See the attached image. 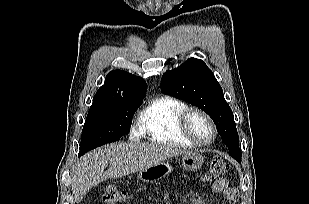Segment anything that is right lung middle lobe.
<instances>
[{"instance_id":"dd1d6c3e","label":"right lung middle lobe","mask_w":309,"mask_h":204,"mask_svg":"<svg viewBox=\"0 0 309 204\" xmlns=\"http://www.w3.org/2000/svg\"><path fill=\"white\" fill-rule=\"evenodd\" d=\"M142 102V99H120L92 105L82 130L79 156L129 133L133 114Z\"/></svg>"}]
</instances>
